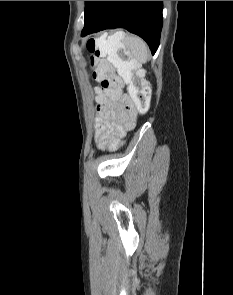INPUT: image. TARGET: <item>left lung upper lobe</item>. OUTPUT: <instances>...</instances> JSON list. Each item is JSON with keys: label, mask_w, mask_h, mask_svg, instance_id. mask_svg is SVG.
Returning a JSON list of instances; mask_svg holds the SVG:
<instances>
[{"label": "left lung upper lobe", "mask_w": 233, "mask_h": 295, "mask_svg": "<svg viewBox=\"0 0 233 295\" xmlns=\"http://www.w3.org/2000/svg\"><path fill=\"white\" fill-rule=\"evenodd\" d=\"M96 1H85V14H84V21L89 16L91 9Z\"/></svg>", "instance_id": "5c2ea615"}]
</instances>
